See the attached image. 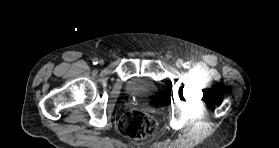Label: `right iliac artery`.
I'll use <instances>...</instances> for the list:
<instances>
[{
	"label": "right iliac artery",
	"mask_w": 279,
	"mask_h": 148,
	"mask_svg": "<svg viewBox=\"0 0 279 148\" xmlns=\"http://www.w3.org/2000/svg\"><path fill=\"white\" fill-rule=\"evenodd\" d=\"M92 62H93L94 65H96V64L98 63L97 58H94V59L92 60Z\"/></svg>",
	"instance_id": "right-iliac-artery-1"
}]
</instances>
